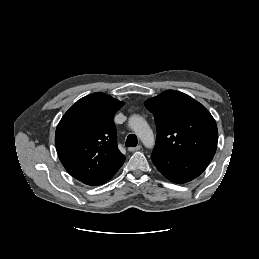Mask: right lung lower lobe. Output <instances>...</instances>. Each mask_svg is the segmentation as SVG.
Instances as JSON below:
<instances>
[{"label":"right lung lower lobe","mask_w":259,"mask_h":259,"mask_svg":"<svg viewBox=\"0 0 259 259\" xmlns=\"http://www.w3.org/2000/svg\"><path fill=\"white\" fill-rule=\"evenodd\" d=\"M121 166L122 165L118 166L113 171H111L110 173H108V174H106V175H104L100 178L84 181L83 183H85L87 185H101V184H104L105 182H107L108 180H110L114 176V174L119 170V168Z\"/></svg>","instance_id":"98d812e1"}]
</instances>
